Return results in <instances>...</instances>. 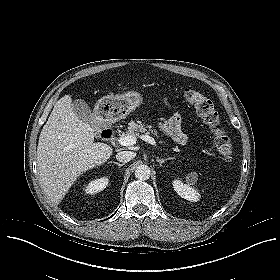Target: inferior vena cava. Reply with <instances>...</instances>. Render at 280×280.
<instances>
[{
	"label": "inferior vena cava",
	"instance_id": "1",
	"mask_svg": "<svg viewBox=\"0 0 280 280\" xmlns=\"http://www.w3.org/2000/svg\"><path fill=\"white\" fill-rule=\"evenodd\" d=\"M135 157V153L132 151H121L116 155V159L122 163H127Z\"/></svg>",
	"mask_w": 280,
	"mask_h": 280
}]
</instances>
